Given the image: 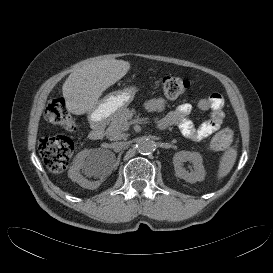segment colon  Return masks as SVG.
I'll list each match as a JSON object with an SVG mask.
<instances>
[{"label":"colon","instance_id":"5ec220e1","mask_svg":"<svg viewBox=\"0 0 273 273\" xmlns=\"http://www.w3.org/2000/svg\"><path fill=\"white\" fill-rule=\"evenodd\" d=\"M155 87L164 96L176 98L187 91L189 81L182 77L165 76L155 81ZM45 115L49 122L61 125L69 131H75L77 128L66 109L63 98L52 99L47 105ZM232 141V132L229 129H223L210 140L208 148L212 151H222L230 146ZM38 149L50 171L62 172L72 156L74 143L65 136H51L41 139Z\"/></svg>","mask_w":273,"mask_h":273}]
</instances>
